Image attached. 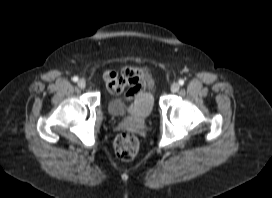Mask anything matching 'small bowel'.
<instances>
[{"mask_svg": "<svg viewBox=\"0 0 272 198\" xmlns=\"http://www.w3.org/2000/svg\"><path fill=\"white\" fill-rule=\"evenodd\" d=\"M105 78L111 93L120 94L126 89L123 99L127 102L145 95V90L151 83L145 68L130 65L122 66L119 75L109 72Z\"/></svg>", "mask_w": 272, "mask_h": 198, "instance_id": "c3829d8e", "label": "small bowel"}]
</instances>
